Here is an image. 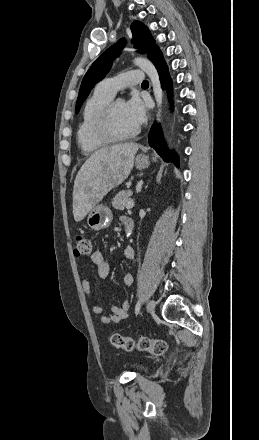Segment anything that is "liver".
I'll use <instances>...</instances> for the list:
<instances>
[{
  "instance_id": "1",
  "label": "liver",
  "mask_w": 259,
  "mask_h": 440,
  "mask_svg": "<svg viewBox=\"0 0 259 440\" xmlns=\"http://www.w3.org/2000/svg\"><path fill=\"white\" fill-rule=\"evenodd\" d=\"M138 149L136 143L112 145L95 151L85 161L73 187V215L76 222L83 220L111 189L128 177Z\"/></svg>"
}]
</instances>
